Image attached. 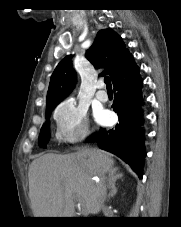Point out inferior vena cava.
I'll return each instance as SVG.
<instances>
[{
    "label": "inferior vena cava",
    "mask_w": 181,
    "mask_h": 227,
    "mask_svg": "<svg viewBox=\"0 0 181 227\" xmlns=\"http://www.w3.org/2000/svg\"><path fill=\"white\" fill-rule=\"evenodd\" d=\"M105 199H106V193L104 192V194L101 197V205H102V207L104 206L103 204H104Z\"/></svg>",
    "instance_id": "602c4592"
}]
</instances>
